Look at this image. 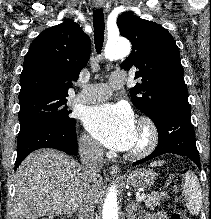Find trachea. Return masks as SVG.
<instances>
[{"label": "trachea", "mask_w": 211, "mask_h": 219, "mask_svg": "<svg viewBox=\"0 0 211 219\" xmlns=\"http://www.w3.org/2000/svg\"><path fill=\"white\" fill-rule=\"evenodd\" d=\"M93 27H94V40L95 49L98 54H101V50L104 42V14L102 9L95 10L93 12Z\"/></svg>", "instance_id": "1"}]
</instances>
